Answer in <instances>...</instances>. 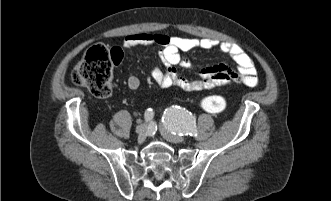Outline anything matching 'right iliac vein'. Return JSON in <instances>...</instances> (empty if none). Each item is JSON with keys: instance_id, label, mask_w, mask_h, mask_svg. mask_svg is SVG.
<instances>
[{"instance_id": "obj_1", "label": "right iliac vein", "mask_w": 331, "mask_h": 201, "mask_svg": "<svg viewBox=\"0 0 331 201\" xmlns=\"http://www.w3.org/2000/svg\"><path fill=\"white\" fill-rule=\"evenodd\" d=\"M147 130V126L145 124H141L136 128V133L140 136H144Z\"/></svg>"}]
</instances>
